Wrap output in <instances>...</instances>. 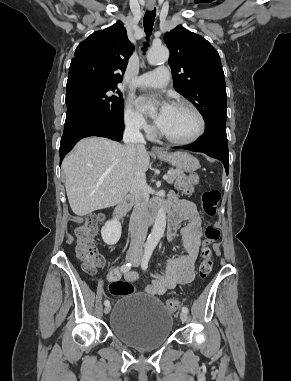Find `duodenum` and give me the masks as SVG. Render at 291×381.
Here are the masks:
<instances>
[{"label": "duodenum", "mask_w": 291, "mask_h": 381, "mask_svg": "<svg viewBox=\"0 0 291 381\" xmlns=\"http://www.w3.org/2000/svg\"><path fill=\"white\" fill-rule=\"evenodd\" d=\"M133 199L130 196L124 197L120 203L116 206L114 210V217L117 220H120L124 213L132 206ZM155 210L157 211L159 208V202L154 203Z\"/></svg>", "instance_id": "duodenum-1"}]
</instances>
